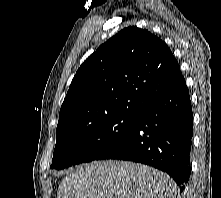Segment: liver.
Wrapping results in <instances>:
<instances>
[{"label": "liver", "mask_w": 221, "mask_h": 198, "mask_svg": "<svg viewBox=\"0 0 221 198\" xmlns=\"http://www.w3.org/2000/svg\"><path fill=\"white\" fill-rule=\"evenodd\" d=\"M57 198H177L167 174L139 163L93 161L69 172Z\"/></svg>", "instance_id": "liver-1"}]
</instances>
